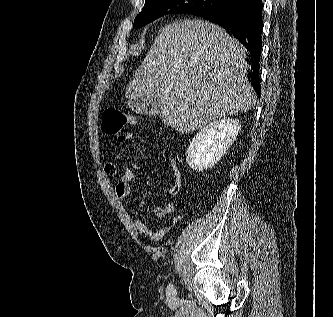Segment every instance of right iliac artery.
Segmentation results:
<instances>
[{"instance_id": "82829eb1", "label": "right iliac artery", "mask_w": 333, "mask_h": 317, "mask_svg": "<svg viewBox=\"0 0 333 317\" xmlns=\"http://www.w3.org/2000/svg\"><path fill=\"white\" fill-rule=\"evenodd\" d=\"M167 292L168 294H173L175 293V289H174V286L172 284H169L168 287H167Z\"/></svg>"}]
</instances>
